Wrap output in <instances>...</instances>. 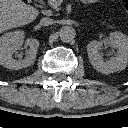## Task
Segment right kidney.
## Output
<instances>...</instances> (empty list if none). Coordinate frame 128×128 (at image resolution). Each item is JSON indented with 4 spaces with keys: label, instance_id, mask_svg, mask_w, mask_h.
<instances>
[{
    "label": "right kidney",
    "instance_id": "right-kidney-1",
    "mask_svg": "<svg viewBox=\"0 0 128 128\" xmlns=\"http://www.w3.org/2000/svg\"><path fill=\"white\" fill-rule=\"evenodd\" d=\"M24 31L17 30L8 32L0 37V65L13 70H19L29 67L35 61L39 41L29 38L25 45L29 47L24 59H13V53L18 50L24 43Z\"/></svg>",
    "mask_w": 128,
    "mask_h": 128
}]
</instances>
